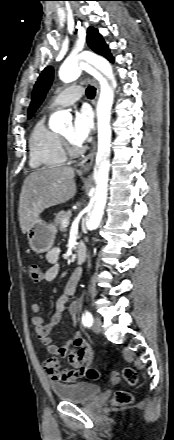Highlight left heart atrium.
<instances>
[{
  "mask_svg": "<svg viewBox=\"0 0 174 440\" xmlns=\"http://www.w3.org/2000/svg\"><path fill=\"white\" fill-rule=\"evenodd\" d=\"M93 128L92 113L87 107L75 112L74 121L70 130V141L79 146L85 142Z\"/></svg>",
  "mask_w": 174,
  "mask_h": 440,
  "instance_id": "1",
  "label": "left heart atrium"
}]
</instances>
